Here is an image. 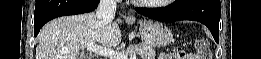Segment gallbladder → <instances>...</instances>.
I'll use <instances>...</instances> for the list:
<instances>
[{
    "label": "gallbladder",
    "mask_w": 261,
    "mask_h": 59,
    "mask_svg": "<svg viewBox=\"0 0 261 59\" xmlns=\"http://www.w3.org/2000/svg\"><path fill=\"white\" fill-rule=\"evenodd\" d=\"M87 57L86 56H80V59H86Z\"/></svg>",
    "instance_id": "1"
}]
</instances>
